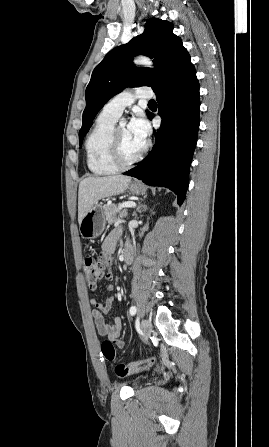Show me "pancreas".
Returning <instances> with one entry per match:
<instances>
[{
    "label": "pancreas",
    "instance_id": "pancreas-1",
    "mask_svg": "<svg viewBox=\"0 0 269 447\" xmlns=\"http://www.w3.org/2000/svg\"><path fill=\"white\" fill-rule=\"evenodd\" d=\"M105 216L108 224H115L118 222L119 218H126L127 210H122L119 214V218H116L117 212H119L116 204H110V206H105Z\"/></svg>",
    "mask_w": 269,
    "mask_h": 447
}]
</instances>
